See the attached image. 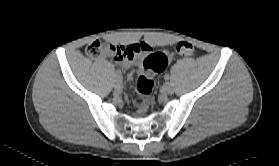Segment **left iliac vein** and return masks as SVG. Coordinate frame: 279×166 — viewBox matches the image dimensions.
<instances>
[{
    "label": "left iliac vein",
    "mask_w": 279,
    "mask_h": 166,
    "mask_svg": "<svg viewBox=\"0 0 279 166\" xmlns=\"http://www.w3.org/2000/svg\"><path fill=\"white\" fill-rule=\"evenodd\" d=\"M162 90L164 93L169 94V95L173 94V92H174V88L170 83H165L162 87Z\"/></svg>",
    "instance_id": "left-iliac-vein-1"
}]
</instances>
